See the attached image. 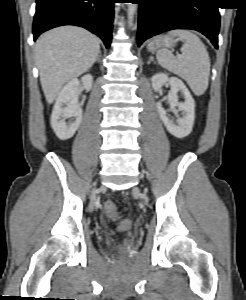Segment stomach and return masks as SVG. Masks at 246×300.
Segmentation results:
<instances>
[{"mask_svg":"<svg viewBox=\"0 0 246 300\" xmlns=\"http://www.w3.org/2000/svg\"><path fill=\"white\" fill-rule=\"evenodd\" d=\"M177 43V39L171 35H161L155 37L152 41L149 42L147 49L154 53L159 50H168L173 48Z\"/></svg>","mask_w":246,"mask_h":300,"instance_id":"obj_1","label":"stomach"}]
</instances>
